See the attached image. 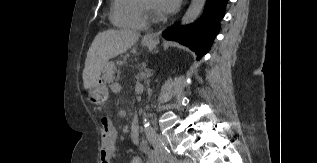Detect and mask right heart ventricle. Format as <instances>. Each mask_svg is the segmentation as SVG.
Here are the masks:
<instances>
[{"label": "right heart ventricle", "instance_id": "1", "mask_svg": "<svg viewBox=\"0 0 317 163\" xmlns=\"http://www.w3.org/2000/svg\"><path fill=\"white\" fill-rule=\"evenodd\" d=\"M110 19L124 29H144L147 17L142 8V0H112Z\"/></svg>", "mask_w": 317, "mask_h": 163}]
</instances>
